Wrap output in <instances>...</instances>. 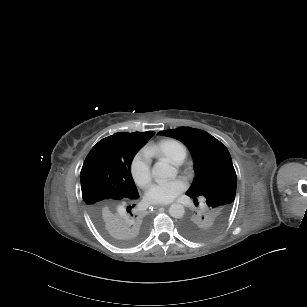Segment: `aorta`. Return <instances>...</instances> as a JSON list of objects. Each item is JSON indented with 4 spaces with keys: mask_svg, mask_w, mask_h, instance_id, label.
<instances>
[{
    "mask_svg": "<svg viewBox=\"0 0 307 307\" xmlns=\"http://www.w3.org/2000/svg\"><path fill=\"white\" fill-rule=\"evenodd\" d=\"M152 176L157 180L174 179L177 176V169L173 167L168 159H162L155 163L151 169ZM185 213L184 206L178 203H173L169 207V214L173 218L180 219Z\"/></svg>",
    "mask_w": 307,
    "mask_h": 307,
    "instance_id": "762f6f07",
    "label": "aorta"
}]
</instances>
